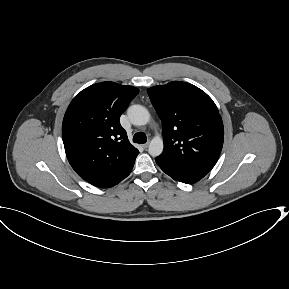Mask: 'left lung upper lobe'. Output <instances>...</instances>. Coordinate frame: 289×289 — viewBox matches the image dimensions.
I'll use <instances>...</instances> for the list:
<instances>
[{
    "mask_svg": "<svg viewBox=\"0 0 289 289\" xmlns=\"http://www.w3.org/2000/svg\"><path fill=\"white\" fill-rule=\"evenodd\" d=\"M163 123L164 151L156 158L167 171L206 175L223 146L224 128L213 100L180 81L147 90Z\"/></svg>",
    "mask_w": 289,
    "mask_h": 289,
    "instance_id": "left-lung-upper-lobe-1",
    "label": "left lung upper lobe"
}]
</instances>
